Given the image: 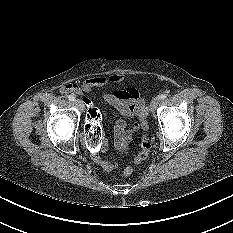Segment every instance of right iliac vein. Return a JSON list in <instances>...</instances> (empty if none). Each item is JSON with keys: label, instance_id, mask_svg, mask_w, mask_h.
Segmentation results:
<instances>
[{"label": "right iliac vein", "instance_id": "63e3f726", "mask_svg": "<svg viewBox=\"0 0 233 233\" xmlns=\"http://www.w3.org/2000/svg\"><path fill=\"white\" fill-rule=\"evenodd\" d=\"M75 103L76 105H78V107L81 109V110H84V104L81 100L77 99L75 100Z\"/></svg>", "mask_w": 233, "mask_h": 233}]
</instances>
